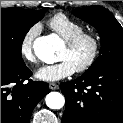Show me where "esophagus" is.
I'll return each instance as SVG.
<instances>
[{
	"label": "esophagus",
	"instance_id": "esophagus-1",
	"mask_svg": "<svg viewBox=\"0 0 123 123\" xmlns=\"http://www.w3.org/2000/svg\"><path fill=\"white\" fill-rule=\"evenodd\" d=\"M58 85L56 84V83H49V88L51 89V90H56V89H58Z\"/></svg>",
	"mask_w": 123,
	"mask_h": 123
}]
</instances>
